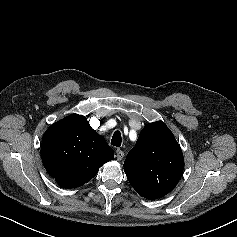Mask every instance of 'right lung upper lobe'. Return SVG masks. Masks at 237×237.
Instances as JSON below:
<instances>
[{
	"instance_id": "cb5924a9",
	"label": "right lung upper lobe",
	"mask_w": 237,
	"mask_h": 237,
	"mask_svg": "<svg viewBox=\"0 0 237 237\" xmlns=\"http://www.w3.org/2000/svg\"><path fill=\"white\" fill-rule=\"evenodd\" d=\"M41 156L46 171L61 187L76 188L96 176L114 151L85 116L71 114L44 133Z\"/></svg>"
}]
</instances>
